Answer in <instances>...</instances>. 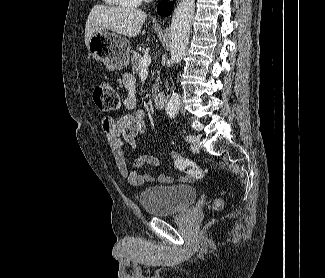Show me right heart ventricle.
Wrapping results in <instances>:
<instances>
[{"label": "right heart ventricle", "instance_id": "obj_1", "mask_svg": "<svg viewBox=\"0 0 325 278\" xmlns=\"http://www.w3.org/2000/svg\"><path fill=\"white\" fill-rule=\"evenodd\" d=\"M107 4L120 8H135L141 0H104Z\"/></svg>", "mask_w": 325, "mask_h": 278}]
</instances>
